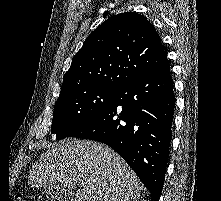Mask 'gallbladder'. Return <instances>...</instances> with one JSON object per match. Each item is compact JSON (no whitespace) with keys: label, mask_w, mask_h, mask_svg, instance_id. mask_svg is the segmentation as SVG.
I'll return each mask as SVG.
<instances>
[{"label":"gallbladder","mask_w":221,"mask_h":201,"mask_svg":"<svg viewBox=\"0 0 221 201\" xmlns=\"http://www.w3.org/2000/svg\"><path fill=\"white\" fill-rule=\"evenodd\" d=\"M43 194L50 201H64L71 197V191L61 184H50L45 186Z\"/></svg>","instance_id":"bac80fb5"}]
</instances>
